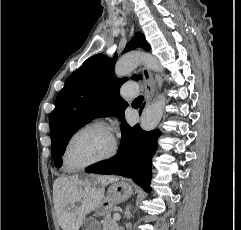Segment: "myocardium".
I'll list each match as a JSON object with an SVG mask.
<instances>
[{
	"label": "myocardium",
	"mask_w": 241,
	"mask_h": 230,
	"mask_svg": "<svg viewBox=\"0 0 241 230\" xmlns=\"http://www.w3.org/2000/svg\"><path fill=\"white\" fill-rule=\"evenodd\" d=\"M91 128H101V129H104L108 132H110V134L112 135V139H113V144H112V148L111 150L104 156L98 158V159H95V160H92L90 162H87V163H84L82 165H79V166H72L69 161H68V152H69V147L72 143V141L74 140V138L80 134L81 132L85 131V130H88V129H91ZM118 142L116 140V138L113 136L109 126L104 122V121H92V122H89L83 126H81L79 129H77L71 136L70 138L68 139V141L66 142V145L64 147V150H63V162H64V165L67 167V169L69 171H78V170H82V169H85V168H88L90 166H93V165H96V164H100V163H103V162H106V161H109L111 160L112 158H114L117 153H118Z\"/></svg>",
	"instance_id": "obj_1"
}]
</instances>
